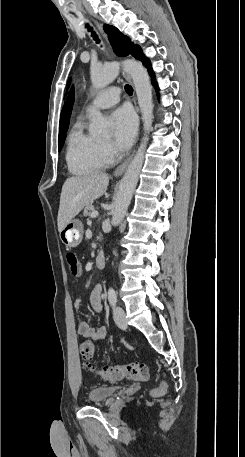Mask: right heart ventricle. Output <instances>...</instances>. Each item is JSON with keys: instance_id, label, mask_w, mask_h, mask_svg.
<instances>
[{"instance_id": "e07e8e85", "label": "right heart ventricle", "mask_w": 245, "mask_h": 457, "mask_svg": "<svg viewBox=\"0 0 245 457\" xmlns=\"http://www.w3.org/2000/svg\"><path fill=\"white\" fill-rule=\"evenodd\" d=\"M68 161L72 169L81 171L103 169L109 162L100 141L81 122H75L69 130Z\"/></svg>"}]
</instances>
